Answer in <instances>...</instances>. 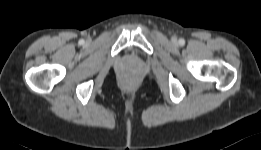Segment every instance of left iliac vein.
Returning a JSON list of instances; mask_svg holds the SVG:
<instances>
[{"label": "left iliac vein", "instance_id": "4c4485c4", "mask_svg": "<svg viewBox=\"0 0 261 150\" xmlns=\"http://www.w3.org/2000/svg\"><path fill=\"white\" fill-rule=\"evenodd\" d=\"M173 42L176 43V42H177V39H176V38H173Z\"/></svg>", "mask_w": 261, "mask_h": 150}]
</instances>
